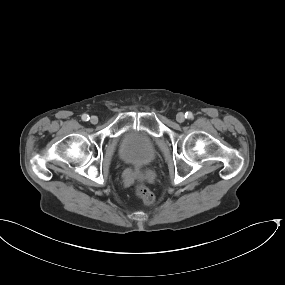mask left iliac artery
Masks as SVG:
<instances>
[{
    "label": "left iliac artery",
    "mask_w": 285,
    "mask_h": 285,
    "mask_svg": "<svg viewBox=\"0 0 285 285\" xmlns=\"http://www.w3.org/2000/svg\"><path fill=\"white\" fill-rule=\"evenodd\" d=\"M185 118H187V119H192L193 118V114L191 113V112H186V114H185Z\"/></svg>",
    "instance_id": "obj_1"
}]
</instances>
